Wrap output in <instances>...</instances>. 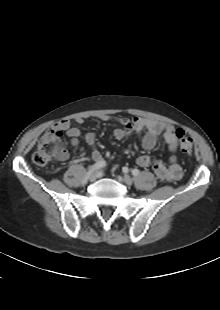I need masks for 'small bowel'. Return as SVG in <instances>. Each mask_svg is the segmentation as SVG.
Listing matches in <instances>:
<instances>
[{
  "mask_svg": "<svg viewBox=\"0 0 220 310\" xmlns=\"http://www.w3.org/2000/svg\"><path fill=\"white\" fill-rule=\"evenodd\" d=\"M99 119L101 121H115L121 125L120 128H116L113 131V135L116 139H123L132 133L143 134L141 143L145 150H152L158 138L161 137L171 153L169 163L166 164L160 160L152 161L147 155L139 156L136 159V163L143 168L152 166L155 176L162 181L176 182L182 178V168L177 157L178 141L175 135L177 130L175 126L169 123L141 117L129 119L126 117L112 118L108 115H101ZM76 122L82 124L83 119L77 118ZM53 129L64 132L69 137L72 147H77L79 139L82 138L92 147V160L95 163L104 161L101 152L96 147V135L93 132L83 134L79 128L74 127L72 122L67 119L56 123Z\"/></svg>",
  "mask_w": 220,
  "mask_h": 310,
  "instance_id": "c3829d8e",
  "label": "small bowel"
}]
</instances>
